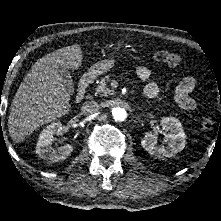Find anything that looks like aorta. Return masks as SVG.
Returning a JSON list of instances; mask_svg holds the SVG:
<instances>
[{
    "label": "aorta",
    "mask_w": 221,
    "mask_h": 221,
    "mask_svg": "<svg viewBox=\"0 0 221 221\" xmlns=\"http://www.w3.org/2000/svg\"><path fill=\"white\" fill-rule=\"evenodd\" d=\"M112 116L115 121L123 122L127 118V112L124 108L116 107L112 110Z\"/></svg>",
    "instance_id": "762f6f07"
}]
</instances>
